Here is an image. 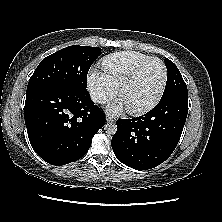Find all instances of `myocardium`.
<instances>
[{"mask_svg": "<svg viewBox=\"0 0 222 222\" xmlns=\"http://www.w3.org/2000/svg\"><path fill=\"white\" fill-rule=\"evenodd\" d=\"M151 61H157L162 66V69H163L162 84L160 86L158 93L151 101H149L145 105L137 107V108H128V112L132 115H141V114H144V113L150 111L158 104V102L161 100V98L164 94V91H165V88L167 85V80H168V70H167L166 64L158 57H149V58L143 60L142 62H140L132 70V72L121 82V84L118 87V93L121 96L123 90L137 78V76L139 75V73L143 69V67Z\"/></svg>", "mask_w": 222, "mask_h": 222, "instance_id": "myocardium-1", "label": "myocardium"}]
</instances>
